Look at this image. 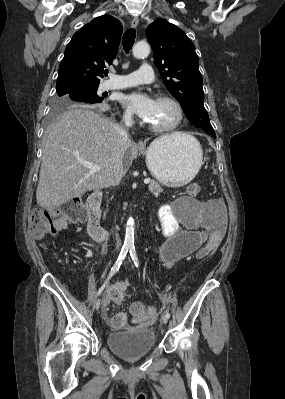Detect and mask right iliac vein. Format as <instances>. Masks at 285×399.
I'll return each mask as SVG.
<instances>
[{"instance_id": "obj_1", "label": "right iliac vein", "mask_w": 285, "mask_h": 399, "mask_svg": "<svg viewBox=\"0 0 285 399\" xmlns=\"http://www.w3.org/2000/svg\"><path fill=\"white\" fill-rule=\"evenodd\" d=\"M101 306V298L95 300V309L98 310Z\"/></svg>"}]
</instances>
